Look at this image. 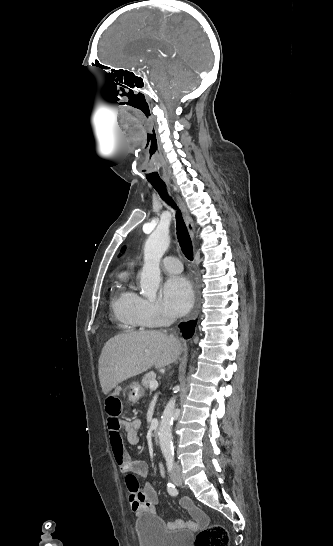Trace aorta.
<instances>
[{
	"label": "aorta",
	"mask_w": 333,
	"mask_h": 546,
	"mask_svg": "<svg viewBox=\"0 0 333 546\" xmlns=\"http://www.w3.org/2000/svg\"><path fill=\"white\" fill-rule=\"evenodd\" d=\"M170 244V237L166 229L157 228L147 239L144 247V265L141 272L140 288L144 296L150 300L156 298L160 283V261ZM179 390V386L175 387ZM176 397L167 403L159 427L160 449L164 455L174 452L172 443V424L175 412Z\"/></svg>",
	"instance_id": "762f6f07"
}]
</instances>
